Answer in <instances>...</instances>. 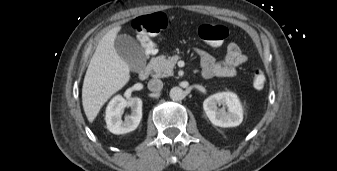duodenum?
<instances>
[{
	"instance_id": "410a0bca",
	"label": "duodenum",
	"mask_w": 337,
	"mask_h": 171,
	"mask_svg": "<svg viewBox=\"0 0 337 171\" xmlns=\"http://www.w3.org/2000/svg\"><path fill=\"white\" fill-rule=\"evenodd\" d=\"M150 75V67L146 66L144 67L138 74V77L140 80H145Z\"/></svg>"
}]
</instances>
